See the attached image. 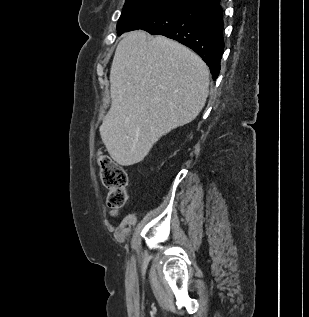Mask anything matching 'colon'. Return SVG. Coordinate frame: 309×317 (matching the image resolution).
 Instances as JSON below:
<instances>
[{"instance_id": "5ec220e1", "label": "colon", "mask_w": 309, "mask_h": 317, "mask_svg": "<svg viewBox=\"0 0 309 317\" xmlns=\"http://www.w3.org/2000/svg\"><path fill=\"white\" fill-rule=\"evenodd\" d=\"M98 165L102 183L108 189L107 205L111 212L116 214L128 200L127 173L123 167L104 154H99Z\"/></svg>"}]
</instances>
